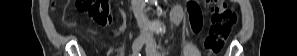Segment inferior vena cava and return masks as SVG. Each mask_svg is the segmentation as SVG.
Listing matches in <instances>:
<instances>
[{
  "mask_svg": "<svg viewBox=\"0 0 297 56\" xmlns=\"http://www.w3.org/2000/svg\"><path fill=\"white\" fill-rule=\"evenodd\" d=\"M144 7H145L144 0H135L134 14L137 19L138 25L143 28H145V25L148 22V19L143 12Z\"/></svg>",
  "mask_w": 297,
  "mask_h": 56,
  "instance_id": "1",
  "label": "inferior vena cava"
}]
</instances>
